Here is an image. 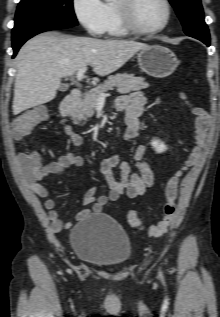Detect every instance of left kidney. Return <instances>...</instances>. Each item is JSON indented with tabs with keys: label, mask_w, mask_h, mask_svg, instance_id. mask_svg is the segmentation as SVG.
Here are the masks:
<instances>
[{
	"label": "left kidney",
	"mask_w": 220,
	"mask_h": 317,
	"mask_svg": "<svg viewBox=\"0 0 220 317\" xmlns=\"http://www.w3.org/2000/svg\"><path fill=\"white\" fill-rule=\"evenodd\" d=\"M152 146L155 148V150L158 152V153H161V152H164L167 148L164 144H160L158 141H153L152 142Z\"/></svg>",
	"instance_id": "5707ae66"
}]
</instances>
